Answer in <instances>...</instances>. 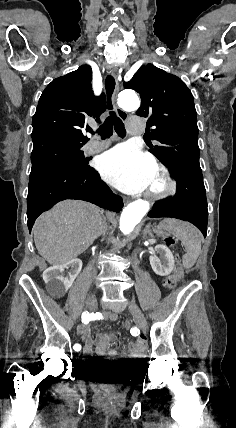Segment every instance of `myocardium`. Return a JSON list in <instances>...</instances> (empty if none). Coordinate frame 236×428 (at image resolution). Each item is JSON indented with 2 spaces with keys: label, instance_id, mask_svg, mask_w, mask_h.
<instances>
[{
  "label": "myocardium",
  "instance_id": "myocardium-1",
  "mask_svg": "<svg viewBox=\"0 0 236 428\" xmlns=\"http://www.w3.org/2000/svg\"><path fill=\"white\" fill-rule=\"evenodd\" d=\"M155 173L160 177L162 187L160 189H147L146 198L155 202H163L175 196L179 186L169 168L164 164H157L155 165Z\"/></svg>",
  "mask_w": 236,
  "mask_h": 428
}]
</instances>
